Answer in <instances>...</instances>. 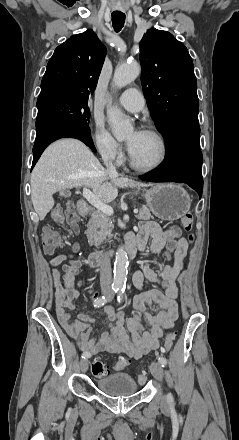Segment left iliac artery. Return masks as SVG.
Segmentation results:
<instances>
[{
    "label": "left iliac artery",
    "instance_id": "left-iliac-artery-1",
    "mask_svg": "<svg viewBox=\"0 0 239 440\" xmlns=\"http://www.w3.org/2000/svg\"><path fill=\"white\" fill-rule=\"evenodd\" d=\"M124 291H125V288H124V287H121V288H120V291H119V295H118V301H119V302L122 301V299H123V293H124ZM158 362L161 364L162 367H165V366L167 365V360H166V358H164V357H160V358L158 359ZM167 398H168V401H169V402H172V401H173V396L171 395V393L168 394Z\"/></svg>",
    "mask_w": 239,
    "mask_h": 440
}]
</instances>
